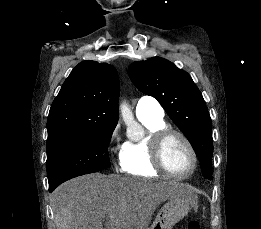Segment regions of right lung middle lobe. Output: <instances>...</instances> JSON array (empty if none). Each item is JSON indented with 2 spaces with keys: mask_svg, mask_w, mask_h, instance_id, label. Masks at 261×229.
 <instances>
[{
  "mask_svg": "<svg viewBox=\"0 0 261 229\" xmlns=\"http://www.w3.org/2000/svg\"><path fill=\"white\" fill-rule=\"evenodd\" d=\"M116 125L94 126L47 147L49 188L71 178L110 167L108 145Z\"/></svg>",
  "mask_w": 261,
  "mask_h": 229,
  "instance_id": "right-lung-middle-lobe-1",
  "label": "right lung middle lobe"
}]
</instances>
